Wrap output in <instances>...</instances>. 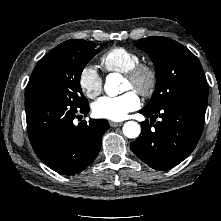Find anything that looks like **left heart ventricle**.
<instances>
[{"label":"left heart ventricle","instance_id":"obj_1","mask_svg":"<svg viewBox=\"0 0 221 221\" xmlns=\"http://www.w3.org/2000/svg\"><path fill=\"white\" fill-rule=\"evenodd\" d=\"M129 89H132V86L128 80H124V90L127 91Z\"/></svg>","mask_w":221,"mask_h":221}]
</instances>
